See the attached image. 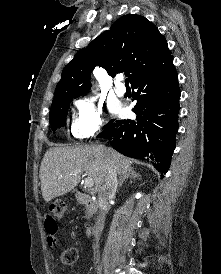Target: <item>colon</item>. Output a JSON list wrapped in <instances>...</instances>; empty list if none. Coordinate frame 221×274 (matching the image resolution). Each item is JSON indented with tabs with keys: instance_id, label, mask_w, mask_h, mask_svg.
<instances>
[{
	"instance_id": "obj_1",
	"label": "colon",
	"mask_w": 221,
	"mask_h": 274,
	"mask_svg": "<svg viewBox=\"0 0 221 274\" xmlns=\"http://www.w3.org/2000/svg\"><path fill=\"white\" fill-rule=\"evenodd\" d=\"M50 212L53 219L57 222L62 219L66 212V204L62 200L53 202L50 206ZM77 259V252L74 248H68L62 251L61 261L66 265L75 263Z\"/></svg>"
}]
</instances>
